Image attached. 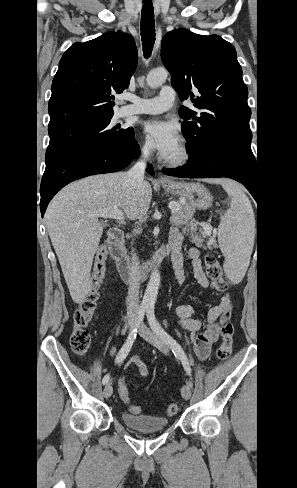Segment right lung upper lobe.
I'll list each match as a JSON object with an SVG mask.
<instances>
[{
    "label": "right lung upper lobe",
    "mask_w": 297,
    "mask_h": 488,
    "mask_svg": "<svg viewBox=\"0 0 297 488\" xmlns=\"http://www.w3.org/2000/svg\"><path fill=\"white\" fill-rule=\"evenodd\" d=\"M138 61L131 35L108 32L62 56L48 103V132L113 116V93L128 87Z\"/></svg>",
    "instance_id": "right-lung-upper-lobe-1"
}]
</instances>
